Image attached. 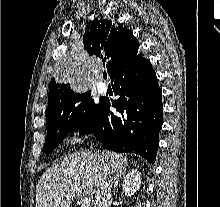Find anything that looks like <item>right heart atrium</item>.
Masks as SVG:
<instances>
[{
    "label": "right heart atrium",
    "instance_id": "d8ad5b80",
    "mask_svg": "<svg viewBox=\"0 0 220 207\" xmlns=\"http://www.w3.org/2000/svg\"><path fill=\"white\" fill-rule=\"evenodd\" d=\"M82 129L83 126L80 123L74 125L67 135L66 142L71 145L77 143L80 140Z\"/></svg>",
    "mask_w": 220,
    "mask_h": 207
}]
</instances>
